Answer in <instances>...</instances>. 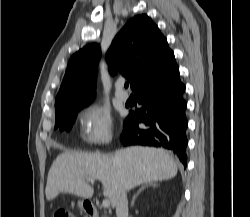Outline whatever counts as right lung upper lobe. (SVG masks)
Returning <instances> with one entry per match:
<instances>
[{"label": "right lung upper lobe", "instance_id": "cb5924a9", "mask_svg": "<svg viewBox=\"0 0 250 217\" xmlns=\"http://www.w3.org/2000/svg\"><path fill=\"white\" fill-rule=\"evenodd\" d=\"M173 54L158 27L147 15L132 18L114 38L106 59L112 75L130 80L134 90L158 71ZM98 44H90L69 60L55 101L56 117L83 108L95 98Z\"/></svg>", "mask_w": 250, "mask_h": 217}]
</instances>
